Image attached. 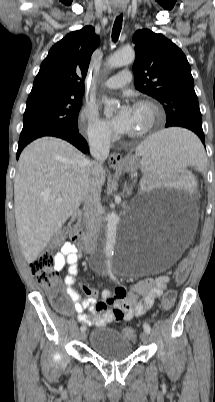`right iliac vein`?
<instances>
[{
  "label": "right iliac vein",
  "instance_id": "right-iliac-vein-1",
  "mask_svg": "<svg viewBox=\"0 0 215 402\" xmlns=\"http://www.w3.org/2000/svg\"><path fill=\"white\" fill-rule=\"evenodd\" d=\"M86 332L85 331H82L81 332V334H80V339L82 340V341H84L85 339H86Z\"/></svg>",
  "mask_w": 215,
  "mask_h": 402
}]
</instances>
